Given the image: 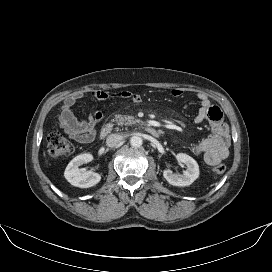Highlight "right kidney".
Here are the masks:
<instances>
[{
  "instance_id": "ca27d5eb",
  "label": "right kidney",
  "mask_w": 272,
  "mask_h": 272,
  "mask_svg": "<svg viewBox=\"0 0 272 272\" xmlns=\"http://www.w3.org/2000/svg\"><path fill=\"white\" fill-rule=\"evenodd\" d=\"M93 156L85 153L73 158L67 165L64 177L73 186L89 188L95 186L101 180V175L91 171L82 172L79 166L92 161Z\"/></svg>"
}]
</instances>
